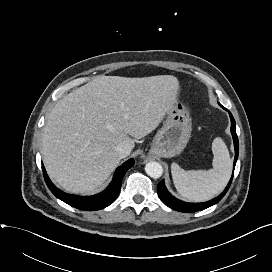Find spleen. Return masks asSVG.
I'll use <instances>...</instances> for the list:
<instances>
[{
  "label": "spleen",
  "instance_id": "obj_1",
  "mask_svg": "<svg viewBox=\"0 0 272 272\" xmlns=\"http://www.w3.org/2000/svg\"><path fill=\"white\" fill-rule=\"evenodd\" d=\"M214 155L210 170L185 171L172 163L171 173L177 191L185 199L194 202L207 201L219 194L229 181L232 160L224 141L217 137L212 142Z\"/></svg>",
  "mask_w": 272,
  "mask_h": 272
}]
</instances>
